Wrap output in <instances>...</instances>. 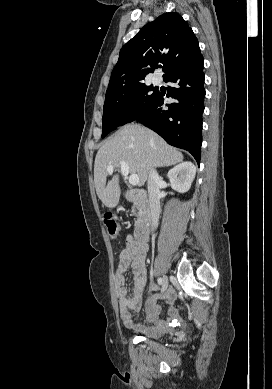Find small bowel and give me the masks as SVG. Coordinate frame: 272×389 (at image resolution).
Listing matches in <instances>:
<instances>
[{
  "label": "small bowel",
  "mask_w": 272,
  "mask_h": 389,
  "mask_svg": "<svg viewBox=\"0 0 272 389\" xmlns=\"http://www.w3.org/2000/svg\"><path fill=\"white\" fill-rule=\"evenodd\" d=\"M146 253V244H137L133 239H127L126 246L119 255L114 280L120 316L124 326L136 332L150 335L154 328L137 324L132 315V311H139L141 308L143 293L147 284ZM128 268H131L133 273L132 294L130 296H128L125 288V272ZM151 289L156 290V286L152 285ZM158 297L159 295L157 294H151L146 301L145 307L148 312V321L154 320L160 313V309L155 305ZM166 300L169 305L173 303L174 295L172 292L166 295ZM168 312L173 314L174 309L169 307Z\"/></svg>",
  "instance_id": "small-bowel-1"
}]
</instances>
